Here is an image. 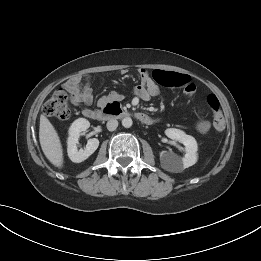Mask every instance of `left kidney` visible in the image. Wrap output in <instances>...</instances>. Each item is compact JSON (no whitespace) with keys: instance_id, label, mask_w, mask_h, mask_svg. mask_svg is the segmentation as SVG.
Here are the masks:
<instances>
[{"instance_id":"left-kidney-1","label":"left kidney","mask_w":261,"mask_h":261,"mask_svg":"<svg viewBox=\"0 0 261 261\" xmlns=\"http://www.w3.org/2000/svg\"><path fill=\"white\" fill-rule=\"evenodd\" d=\"M165 134L168 138L179 141L185 146V155L180 158L173 153L162 151L160 161L163 168L171 172H180L194 165L197 161V142L195 138L175 128L166 129Z\"/></svg>"}]
</instances>
